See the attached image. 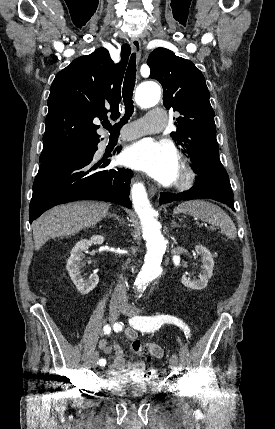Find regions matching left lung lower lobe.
<instances>
[{"label":"left lung lower lobe","mask_w":275,"mask_h":429,"mask_svg":"<svg viewBox=\"0 0 275 429\" xmlns=\"http://www.w3.org/2000/svg\"><path fill=\"white\" fill-rule=\"evenodd\" d=\"M197 173V181L190 190L179 194L161 193L160 203L209 198L222 202L235 211L228 174L214 168L201 169Z\"/></svg>","instance_id":"0a47b994"}]
</instances>
